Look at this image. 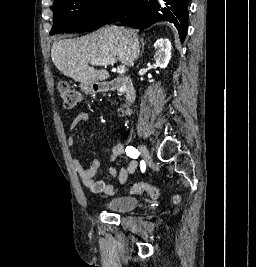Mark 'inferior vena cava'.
Segmentation results:
<instances>
[{
    "mask_svg": "<svg viewBox=\"0 0 256 267\" xmlns=\"http://www.w3.org/2000/svg\"><path fill=\"white\" fill-rule=\"evenodd\" d=\"M132 56H133V60H137V58L139 56L138 40H136L135 44H133V46H132Z\"/></svg>",
    "mask_w": 256,
    "mask_h": 267,
    "instance_id": "1",
    "label": "inferior vena cava"
}]
</instances>
